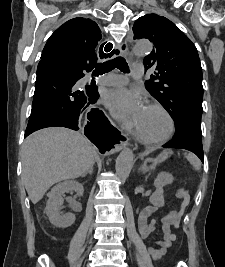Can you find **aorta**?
Masks as SVG:
<instances>
[{"label":"aorta","instance_id":"obj_1","mask_svg":"<svg viewBox=\"0 0 225 267\" xmlns=\"http://www.w3.org/2000/svg\"><path fill=\"white\" fill-rule=\"evenodd\" d=\"M152 50V44L149 41H139L137 42L132 52L137 57H142L148 54ZM133 152L130 149L123 150L116 159V175L120 178H126L133 165Z\"/></svg>","mask_w":225,"mask_h":267}]
</instances>
